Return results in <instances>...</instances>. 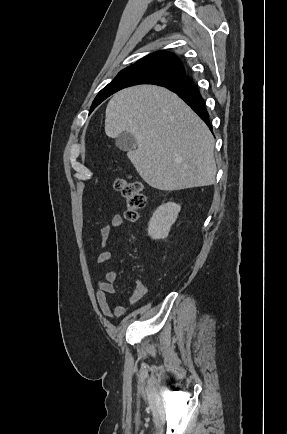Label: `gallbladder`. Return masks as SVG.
I'll return each mask as SVG.
<instances>
[{"label": "gallbladder", "mask_w": 287, "mask_h": 434, "mask_svg": "<svg viewBox=\"0 0 287 434\" xmlns=\"http://www.w3.org/2000/svg\"><path fill=\"white\" fill-rule=\"evenodd\" d=\"M116 146L126 152H131L136 148L137 142L130 132H122L117 138H116Z\"/></svg>", "instance_id": "bac80fb5"}]
</instances>
